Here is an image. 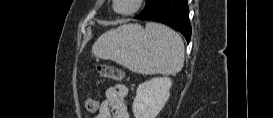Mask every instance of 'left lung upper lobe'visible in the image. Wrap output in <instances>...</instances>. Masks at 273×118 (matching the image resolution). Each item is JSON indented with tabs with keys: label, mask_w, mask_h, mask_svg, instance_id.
I'll return each mask as SVG.
<instances>
[{
	"label": "left lung upper lobe",
	"mask_w": 273,
	"mask_h": 118,
	"mask_svg": "<svg viewBox=\"0 0 273 118\" xmlns=\"http://www.w3.org/2000/svg\"><path fill=\"white\" fill-rule=\"evenodd\" d=\"M162 2L163 0H146V6L144 10L140 14L136 15L135 18L141 19L145 15L153 12L159 7Z\"/></svg>",
	"instance_id": "obj_1"
}]
</instances>
